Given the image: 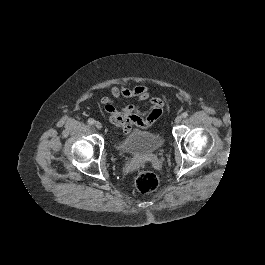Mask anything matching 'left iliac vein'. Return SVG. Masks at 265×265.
I'll use <instances>...</instances> for the list:
<instances>
[{
	"instance_id": "1",
	"label": "left iliac vein",
	"mask_w": 265,
	"mask_h": 265,
	"mask_svg": "<svg viewBox=\"0 0 265 265\" xmlns=\"http://www.w3.org/2000/svg\"><path fill=\"white\" fill-rule=\"evenodd\" d=\"M182 120V117L181 116H177L174 120L175 124H179Z\"/></svg>"
}]
</instances>
